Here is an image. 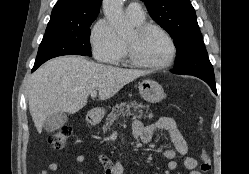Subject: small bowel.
<instances>
[{
  "label": "small bowel",
  "mask_w": 249,
  "mask_h": 174,
  "mask_svg": "<svg viewBox=\"0 0 249 174\" xmlns=\"http://www.w3.org/2000/svg\"><path fill=\"white\" fill-rule=\"evenodd\" d=\"M131 132L135 139L141 140L144 143H149L156 132L167 135L174 146V149H166L162 152V156L169 159V170L174 171L178 168L179 164L175 158L177 155H180L182 156L183 166L190 170V174H200V172L196 170L198 162L194 157L187 156V143L172 118L162 117L155 123L147 126L143 125L141 121L135 120L132 123ZM98 159L104 167V174H123V166L120 161H112L103 155H100ZM74 161L78 164H82L86 161V157L81 154L76 155ZM60 168V163L52 162L49 164L48 169L42 170L41 174H49V171L56 172L60 170Z\"/></svg>",
  "instance_id": "small-bowel-1"
}]
</instances>
